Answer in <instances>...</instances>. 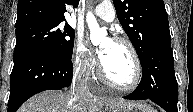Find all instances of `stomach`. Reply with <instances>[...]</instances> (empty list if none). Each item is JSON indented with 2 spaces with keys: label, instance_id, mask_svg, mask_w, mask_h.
Masks as SVG:
<instances>
[{
  "label": "stomach",
  "instance_id": "1",
  "mask_svg": "<svg viewBox=\"0 0 193 112\" xmlns=\"http://www.w3.org/2000/svg\"><path fill=\"white\" fill-rule=\"evenodd\" d=\"M108 112H154V109L142 102H129L124 105L114 106L107 103Z\"/></svg>",
  "mask_w": 193,
  "mask_h": 112
}]
</instances>
